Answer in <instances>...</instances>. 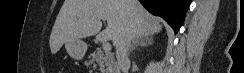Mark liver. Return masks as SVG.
I'll list each match as a JSON object with an SVG mask.
<instances>
[{"label": "liver", "mask_w": 244, "mask_h": 73, "mask_svg": "<svg viewBox=\"0 0 244 73\" xmlns=\"http://www.w3.org/2000/svg\"><path fill=\"white\" fill-rule=\"evenodd\" d=\"M105 20L107 27L100 31ZM160 21L137 0H65L51 31L50 50L56 54L67 41L94 35L116 45L127 25L134 39L152 36L161 31Z\"/></svg>", "instance_id": "obj_1"}]
</instances>
